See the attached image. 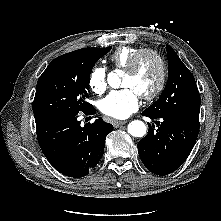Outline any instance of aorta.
<instances>
[{
	"mask_svg": "<svg viewBox=\"0 0 221 221\" xmlns=\"http://www.w3.org/2000/svg\"><path fill=\"white\" fill-rule=\"evenodd\" d=\"M108 84L113 88L120 86V77L117 73H109L107 77ZM128 132L134 137H143L146 134V125L139 120L131 121L127 126Z\"/></svg>",
	"mask_w": 221,
	"mask_h": 221,
	"instance_id": "1",
	"label": "aorta"
}]
</instances>
